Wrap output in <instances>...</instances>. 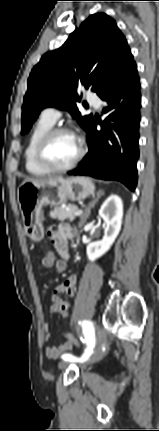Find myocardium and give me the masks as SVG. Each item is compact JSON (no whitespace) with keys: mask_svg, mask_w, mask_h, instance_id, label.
<instances>
[{"mask_svg":"<svg viewBox=\"0 0 159 431\" xmlns=\"http://www.w3.org/2000/svg\"><path fill=\"white\" fill-rule=\"evenodd\" d=\"M60 134H71L73 135L77 141H78V153L76 157L67 165L65 166H56L54 165L47 156V150L52 142V140ZM84 155V147L80 139L76 136V134L67 127H52L50 130H48L42 138L39 140L36 150H35V158L38 164L51 173H63L67 172L71 169H73L82 159Z\"/></svg>","mask_w":159,"mask_h":431,"instance_id":"obj_1","label":"myocardium"}]
</instances>
